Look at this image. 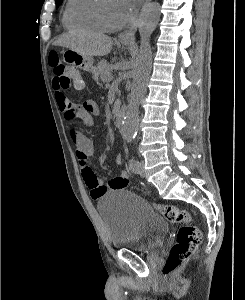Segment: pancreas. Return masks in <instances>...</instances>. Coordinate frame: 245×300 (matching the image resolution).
Instances as JSON below:
<instances>
[{
    "mask_svg": "<svg viewBox=\"0 0 245 300\" xmlns=\"http://www.w3.org/2000/svg\"><path fill=\"white\" fill-rule=\"evenodd\" d=\"M92 71V75H93V79L95 81H99L100 79L104 82H109L110 78L109 76H111L110 73V66L107 63V61H100L98 63V65L96 67H93ZM116 110H114L115 112Z\"/></svg>",
    "mask_w": 245,
    "mask_h": 300,
    "instance_id": "1",
    "label": "pancreas"
}]
</instances>
